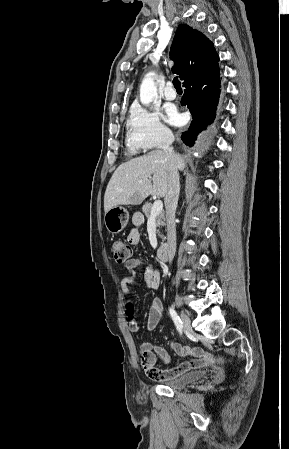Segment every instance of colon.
Here are the masks:
<instances>
[{"label": "colon", "instance_id": "5ec220e1", "mask_svg": "<svg viewBox=\"0 0 289 449\" xmlns=\"http://www.w3.org/2000/svg\"><path fill=\"white\" fill-rule=\"evenodd\" d=\"M112 252L115 261L118 263H126L132 256V250L129 244L121 240L115 241L113 243ZM127 306L132 310L136 305L131 301Z\"/></svg>", "mask_w": 289, "mask_h": 449}]
</instances>
